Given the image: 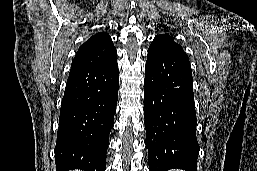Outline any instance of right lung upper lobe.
<instances>
[{
    "instance_id": "cb5924a9",
    "label": "right lung upper lobe",
    "mask_w": 257,
    "mask_h": 171,
    "mask_svg": "<svg viewBox=\"0 0 257 171\" xmlns=\"http://www.w3.org/2000/svg\"><path fill=\"white\" fill-rule=\"evenodd\" d=\"M116 49L106 32H99L83 43L72 60L71 70L108 64L116 59Z\"/></svg>"
}]
</instances>
